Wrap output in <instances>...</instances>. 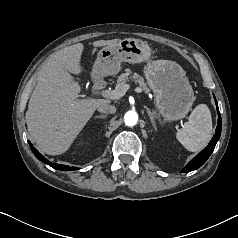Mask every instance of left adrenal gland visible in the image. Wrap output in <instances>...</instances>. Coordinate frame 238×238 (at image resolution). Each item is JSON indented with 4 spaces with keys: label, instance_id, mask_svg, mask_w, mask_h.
<instances>
[{
    "label": "left adrenal gland",
    "instance_id": "1",
    "mask_svg": "<svg viewBox=\"0 0 238 238\" xmlns=\"http://www.w3.org/2000/svg\"><path fill=\"white\" fill-rule=\"evenodd\" d=\"M147 113H148V116L150 118L152 125L154 126L155 129H157L156 124H155V118H157L156 112L150 111V109L147 108Z\"/></svg>",
    "mask_w": 238,
    "mask_h": 238
}]
</instances>
